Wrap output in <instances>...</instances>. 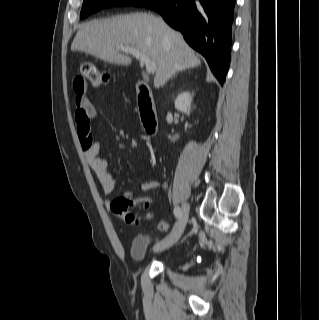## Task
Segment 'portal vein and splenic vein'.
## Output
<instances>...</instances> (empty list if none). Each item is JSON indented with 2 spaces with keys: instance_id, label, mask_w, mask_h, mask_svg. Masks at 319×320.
<instances>
[{
  "instance_id": "18ae733b",
  "label": "portal vein and splenic vein",
  "mask_w": 319,
  "mask_h": 320,
  "mask_svg": "<svg viewBox=\"0 0 319 320\" xmlns=\"http://www.w3.org/2000/svg\"><path fill=\"white\" fill-rule=\"evenodd\" d=\"M116 48L120 51H123L124 53H129L133 55L135 58H137L140 61V63L146 66V71L148 73H154L156 71V63L152 61L148 56L138 51L137 49L128 46H116Z\"/></svg>"
}]
</instances>
